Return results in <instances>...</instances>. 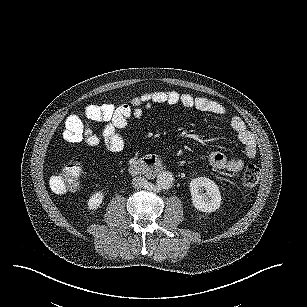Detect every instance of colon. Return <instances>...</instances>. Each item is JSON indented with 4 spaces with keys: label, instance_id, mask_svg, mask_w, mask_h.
Returning a JSON list of instances; mask_svg holds the SVG:
<instances>
[{
    "label": "colon",
    "instance_id": "1",
    "mask_svg": "<svg viewBox=\"0 0 307 307\" xmlns=\"http://www.w3.org/2000/svg\"><path fill=\"white\" fill-rule=\"evenodd\" d=\"M82 114L85 118L91 119L88 116L87 110H83ZM82 141L88 146H96L99 143V137L87 124L82 127ZM82 175L83 169L81 161L79 159H73L51 178L50 187L57 194L75 192L81 187ZM259 176L260 170L256 165H247L242 173L243 186L253 188L258 183Z\"/></svg>",
    "mask_w": 307,
    "mask_h": 307
}]
</instances>
